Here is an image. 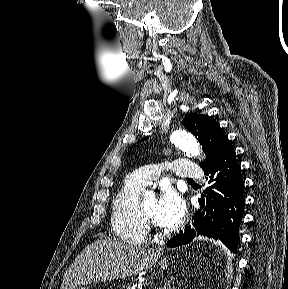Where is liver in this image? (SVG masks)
Returning a JSON list of instances; mask_svg holds the SVG:
<instances>
[{
    "instance_id": "obj_1",
    "label": "liver",
    "mask_w": 288,
    "mask_h": 289,
    "mask_svg": "<svg viewBox=\"0 0 288 289\" xmlns=\"http://www.w3.org/2000/svg\"><path fill=\"white\" fill-rule=\"evenodd\" d=\"M163 252L162 248L145 249L112 239L97 240L69 266L60 289L133 276L151 268Z\"/></svg>"
}]
</instances>
